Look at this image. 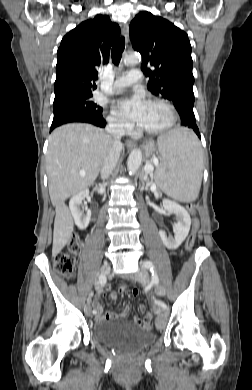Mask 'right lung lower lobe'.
Returning a JSON list of instances; mask_svg holds the SVG:
<instances>
[{"label": "right lung lower lobe", "mask_w": 252, "mask_h": 390, "mask_svg": "<svg viewBox=\"0 0 252 390\" xmlns=\"http://www.w3.org/2000/svg\"><path fill=\"white\" fill-rule=\"evenodd\" d=\"M70 122H85L91 123L99 127H105L106 121L103 119L102 115H92L85 112L78 111H64L57 114H54L53 122L50 128V132L65 123Z\"/></svg>", "instance_id": "right-lung-lower-lobe-1"}]
</instances>
